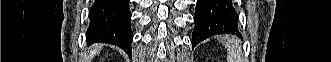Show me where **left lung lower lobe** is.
I'll return each instance as SVG.
<instances>
[{"mask_svg": "<svg viewBox=\"0 0 331 62\" xmlns=\"http://www.w3.org/2000/svg\"><path fill=\"white\" fill-rule=\"evenodd\" d=\"M195 27L192 33V46L220 34H238V14L232 0H197Z\"/></svg>", "mask_w": 331, "mask_h": 62, "instance_id": "1", "label": "left lung lower lobe"}]
</instances>
